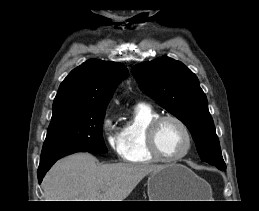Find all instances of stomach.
Returning <instances> with one entry per match:
<instances>
[{
	"label": "stomach",
	"mask_w": 259,
	"mask_h": 211,
	"mask_svg": "<svg viewBox=\"0 0 259 211\" xmlns=\"http://www.w3.org/2000/svg\"><path fill=\"white\" fill-rule=\"evenodd\" d=\"M149 201H204L208 183L181 164H168L148 177Z\"/></svg>",
	"instance_id": "obj_1"
}]
</instances>
